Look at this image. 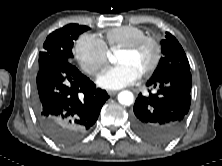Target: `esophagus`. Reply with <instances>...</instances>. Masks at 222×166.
<instances>
[{
  "label": "esophagus",
  "instance_id": "34e87169",
  "mask_svg": "<svg viewBox=\"0 0 222 166\" xmlns=\"http://www.w3.org/2000/svg\"><path fill=\"white\" fill-rule=\"evenodd\" d=\"M118 93V91H108V94L110 95V96H114V95H116Z\"/></svg>",
  "mask_w": 222,
  "mask_h": 166
}]
</instances>
